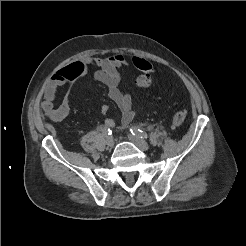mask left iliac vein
I'll return each instance as SVG.
<instances>
[{
  "label": "left iliac vein",
  "mask_w": 246,
  "mask_h": 246,
  "mask_svg": "<svg viewBox=\"0 0 246 246\" xmlns=\"http://www.w3.org/2000/svg\"><path fill=\"white\" fill-rule=\"evenodd\" d=\"M130 141H132L140 150L147 151L150 149L149 144L139 136L128 135Z\"/></svg>",
  "instance_id": "1"
}]
</instances>
